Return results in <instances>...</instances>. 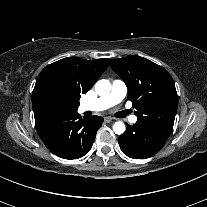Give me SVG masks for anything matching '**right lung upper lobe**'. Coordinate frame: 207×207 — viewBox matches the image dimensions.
<instances>
[{
    "label": "right lung upper lobe",
    "instance_id": "obj_1",
    "mask_svg": "<svg viewBox=\"0 0 207 207\" xmlns=\"http://www.w3.org/2000/svg\"><path fill=\"white\" fill-rule=\"evenodd\" d=\"M108 66L107 59L64 58L39 74L33 94L35 124L77 111L79 99L95 84Z\"/></svg>",
    "mask_w": 207,
    "mask_h": 207
}]
</instances>
